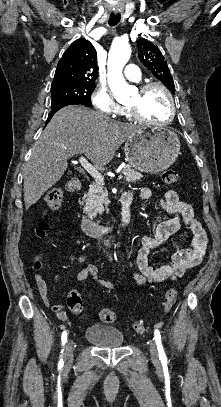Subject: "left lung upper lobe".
<instances>
[{
	"mask_svg": "<svg viewBox=\"0 0 221 407\" xmlns=\"http://www.w3.org/2000/svg\"><path fill=\"white\" fill-rule=\"evenodd\" d=\"M139 58L143 65L147 67L172 93H175V85L167 62L161 51L150 41L140 38L138 40Z\"/></svg>",
	"mask_w": 221,
	"mask_h": 407,
	"instance_id": "left-lung-upper-lobe-1",
	"label": "left lung upper lobe"
}]
</instances>
